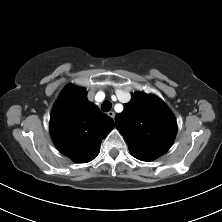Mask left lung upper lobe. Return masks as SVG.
<instances>
[{
  "label": "left lung upper lobe",
  "instance_id": "5c2ea615",
  "mask_svg": "<svg viewBox=\"0 0 222 222\" xmlns=\"http://www.w3.org/2000/svg\"><path fill=\"white\" fill-rule=\"evenodd\" d=\"M115 122L131 154L142 161L154 160L167 152L177 132L175 117L168 106L156 96L141 92L132 94Z\"/></svg>",
  "mask_w": 222,
  "mask_h": 222
}]
</instances>
